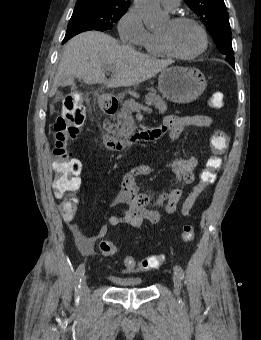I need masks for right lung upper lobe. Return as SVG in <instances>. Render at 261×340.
<instances>
[{
    "mask_svg": "<svg viewBox=\"0 0 261 340\" xmlns=\"http://www.w3.org/2000/svg\"><path fill=\"white\" fill-rule=\"evenodd\" d=\"M77 3H102V4H115V5H129L128 0H77Z\"/></svg>",
    "mask_w": 261,
    "mask_h": 340,
    "instance_id": "1",
    "label": "right lung upper lobe"
}]
</instances>
